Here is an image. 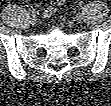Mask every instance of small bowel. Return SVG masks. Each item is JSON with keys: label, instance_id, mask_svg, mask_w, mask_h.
Segmentation results:
<instances>
[{"label": "small bowel", "instance_id": "obj_1", "mask_svg": "<svg viewBox=\"0 0 111 106\" xmlns=\"http://www.w3.org/2000/svg\"><path fill=\"white\" fill-rule=\"evenodd\" d=\"M65 0H55L51 2L43 11V17L49 18L53 15V13L56 11L58 7H61L65 4Z\"/></svg>", "mask_w": 111, "mask_h": 106}]
</instances>
